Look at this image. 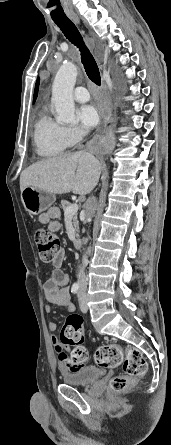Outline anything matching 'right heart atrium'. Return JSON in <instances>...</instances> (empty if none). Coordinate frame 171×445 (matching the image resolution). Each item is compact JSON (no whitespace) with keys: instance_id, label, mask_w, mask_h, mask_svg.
<instances>
[{"instance_id":"1","label":"right heart atrium","mask_w":171,"mask_h":445,"mask_svg":"<svg viewBox=\"0 0 171 445\" xmlns=\"http://www.w3.org/2000/svg\"><path fill=\"white\" fill-rule=\"evenodd\" d=\"M64 133L69 144L81 141L84 136V132L77 127H64Z\"/></svg>"}]
</instances>
